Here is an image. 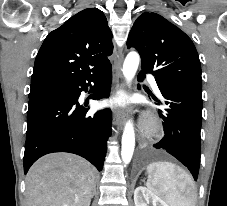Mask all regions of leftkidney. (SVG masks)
<instances>
[{
    "label": "left kidney",
    "instance_id": "5707ae66",
    "mask_svg": "<svg viewBox=\"0 0 227 206\" xmlns=\"http://www.w3.org/2000/svg\"><path fill=\"white\" fill-rule=\"evenodd\" d=\"M135 206H148L149 202L153 206H168L158 195L144 186H139L134 191Z\"/></svg>",
    "mask_w": 227,
    "mask_h": 206
}]
</instances>
